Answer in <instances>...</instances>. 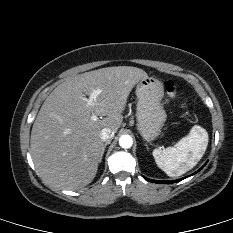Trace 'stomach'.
I'll list each match as a JSON object with an SVG mask.
<instances>
[{"mask_svg": "<svg viewBox=\"0 0 233 233\" xmlns=\"http://www.w3.org/2000/svg\"><path fill=\"white\" fill-rule=\"evenodd\" d=\"M137 130L146 142L156 139L167 115L161 104L164 96L163 83L154 77L141 79L136 86Z\"/></svg>", "mask_w": 233, "mask_h": 233, "instance_id": "stomach-1", "label": "stomach"}]
</instances>
